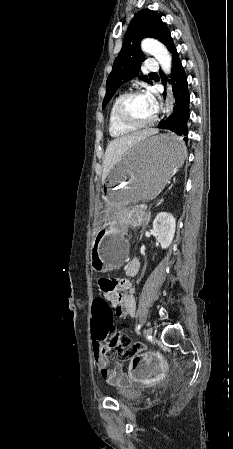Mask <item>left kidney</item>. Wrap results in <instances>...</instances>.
<instances>
[{
  "label": "left kidney",
  "mask_w": 233,
  "mask_h": 449,
  "mask_svg": "<svg viewBox=\"0 0 233 449\" xmlns=\"http://www.w3.org/2000/svg\"><path fill=\"white\" fill-rule=\"evenodd\" d=\"M176 228V221L172 214L167 212L159 213L153 221V230L158 234V242L162 249L170 246Z\"/></svg>",
  "instance_id": "obj_1"
}]
</instances>
